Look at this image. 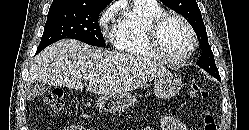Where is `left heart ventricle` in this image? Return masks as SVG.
I'll return each instance as SVG.
<instances>
[{"mask_svg":"<svg viewBox=\"0 0 249 130\" xmlns=\"http://www.w3.org/2000/svg\"><path fill=\"white\" fill-rule=\"evenodd\" d=\"M164 50L173 57L184 56L190 48L191 38L185 26L176 19H170L161 32Z\"/></svg>","mask_w":249,"mask_h":130,"instance_id":"1","label":"left heart ventricle"}]
</instances>
